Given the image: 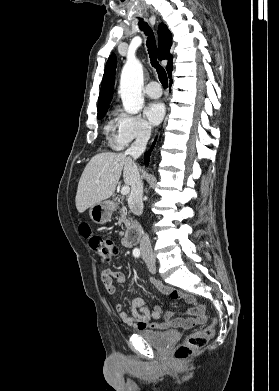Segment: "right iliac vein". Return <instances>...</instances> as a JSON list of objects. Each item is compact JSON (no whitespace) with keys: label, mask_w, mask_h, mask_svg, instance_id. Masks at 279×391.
I'll list each match as a JSON object with an SVG mask.
<instances>
[{"label":"right iliac vein","mask_w":279,"mask_h":391,"mask_svg":"<svg viewBox=\"0 0 279 391\" xmlns=\"http://www.w3.org/2000/svg\"><path fill=\"white\" fill-rule=\"evenodd\" d=\"M146 262H147V264H153L154 260L152 258H147Z\"/></svg>","instance_id":"63e3f726"}]
</instances>
